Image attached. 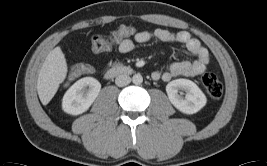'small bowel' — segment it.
Segmentation results:
<instances>
[{
    "instance_id": "obj_1",
    "label": "small bowel",
    "mask_w": 267,
    "mask_h": 166,
    "mask_svg": "<svg viewBox=\"0 0 267 166\" xmlns=\"http://www.w3.org/2000/svg\"><path fill=\"white\" fill-rule=\"evenodd\" d=\"M151 40L183 44L187 51L196 57L193 61L174 62L164 72L154 71L151 74L153 80L169 82L175 78H191L200 75L207 68L209 63L208 50L187 31L173 33L169 30L158 28L150 31L133 32L130 38H124L121 43H118V51L121 54H129L133 51L135 43H146Z\"/></svg>"
}]
</instances>
